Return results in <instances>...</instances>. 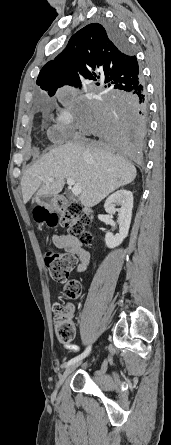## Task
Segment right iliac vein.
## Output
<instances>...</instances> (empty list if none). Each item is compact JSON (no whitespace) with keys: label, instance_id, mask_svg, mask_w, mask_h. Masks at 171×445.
Here are the masks:
<instances>
[{"label":"right iliac vein","instance_id":"obj_1","mask_svg":"<svg viewBox=\"0 0 171 445\" xmlns=\"http://www.w3.org/2000/svg\"><path fill=\"white\" fill-rule=\"evenodd\" d=\"M81 364V361L75 362L71 365H69L65 371L63 372V374L60 375L59 377V381H58V387H60L62 385V383L64 382V380L67 378L68 375H70L79 365Z\"/></svg>","mask_w":171,"mask_h":445}]
</instances>
